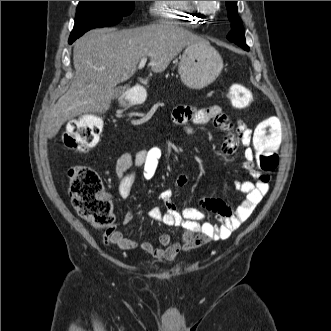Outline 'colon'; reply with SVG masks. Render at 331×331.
I'll list each match as a JSON object with an SVG mask.
<instances>
[{
    "mask_svg": "<svg viewBox=\"0 0 331 331\" xmlns=\"http://www.w3.org/2000/svg\"><path fill=\"white\" fill-rule=\"evenodd\" d=\"M231 104L239 109L252 102L250 91L241 84H232L227 90ZM104 127L103 119L94 114L83 115L71 121L63 135L67 150L86 151L95 145ZM283 124L278 117H269L259 123L254 143L260 150L257 158L261 172L269 173L278 166L276 149L282 140ZM68 191L76 212L97 228H110L115 215L110 199L104 191L99 175L86 166L72 167L68 172Z\"/></svg>",
    "mask_w": 331,
    "mask_h": 331,
    "instance_id": "colon-1",
    "label": "colon"
}]
</instances>
